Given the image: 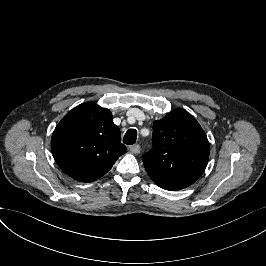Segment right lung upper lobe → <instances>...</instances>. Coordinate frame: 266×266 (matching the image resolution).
<instances>
[{
  "label": "right lung upper lobe",
  "instance_id": "1",
  "mask_svg": "<svg viewBox=\"0 0 266 266\" xmlns=\"http://www.w3.org/2000/svg\"><path fill=\"white\" fill-rule=\"evenodd\" d=\"M51 150L62 171L81 182L105 175L127 151L111 112L93 102L75 107L59 122Z\"/></svg>",
  "mask_w": 266,
  "mask_h": 266
}]
</instances>
